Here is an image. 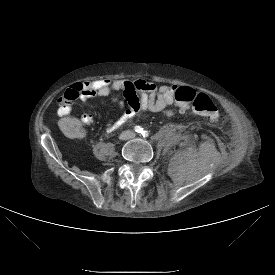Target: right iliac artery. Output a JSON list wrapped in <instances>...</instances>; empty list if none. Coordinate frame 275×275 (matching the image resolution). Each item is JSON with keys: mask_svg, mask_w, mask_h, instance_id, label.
Instances as JSON below:
<instances>
[{"mask_svg": "<svg viewBox=\"0 0 275 275\" xmlns=\"http://www.w3.org/2000/svg\"><path fill=\"white\" fill-rule=\"evenodd\" d=\"M134 130L137 133H142V131H143V129L140 126H135Z\"/></svg>", "mask_w": 275, "mask_h": 275, "instance_id": "obj_1", "label": "right iliac artery"}]
</instances>
